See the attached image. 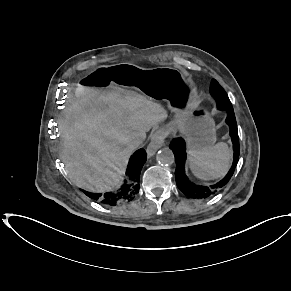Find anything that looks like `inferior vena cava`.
Here are the masks:
<instances>
[{
  "label": "inferior vena cava",
  "instance_id": "602c4592",
  "mask_svg": "<svg viewBox=\"0 0 291 291\" xmlns=\"http://www.w3.org/2000/svg\"><path fill=\"white\" fill-rule=\"evenodd\" d=\"M141 144V140L137 138H133L129 140V147L131 149H136Z\"/></svg>",
  "mask_w": 291,
  "mask_h": 291
}]
</instances>
